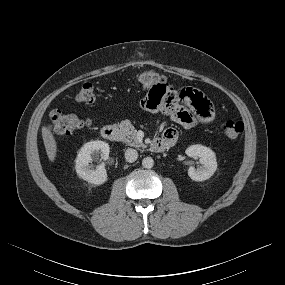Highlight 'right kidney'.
<instances>
[{
  "instance_id": "ca27d5eb",
  "label": "right kidney",
  "mask_w": 285,
  "mask_h": 285,
  "mask_svg": "<svg viewBox=\"0 0 285 285\" xmlns=\"http://www.w3.org/2000/svg\"><path fill=\"white\" fill-rule=\"evenodd\" d=\"M110 148L108 143L100 140L90 141L84 144L75 160V170L79 177L83 180L95 184L101 185L107 181V172L105 169V164L102 163L92 169L89 163L101 154L102 159H108Z\"/></svg>"
}]
</instances>
